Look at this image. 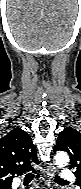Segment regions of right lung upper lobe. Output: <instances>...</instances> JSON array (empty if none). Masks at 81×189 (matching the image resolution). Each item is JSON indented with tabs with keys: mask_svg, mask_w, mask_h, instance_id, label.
<instances>
[{
	"mask_svg": "<svg viewBox=\"0 0 81 189\" xmlns=\"http://www.w3.org/2000/svg\"><path fill=\"white\" fill-rule=\"evenodd\" d=\"M38 164L36 147L27 132L15 128L0 139V187L11 185L15 174L33 170Z\"/></svg>",
	"mask_w": 81,
	"mask_h": 189,
	"instance_id": "right-lung-upper-lobe-1",
	"label": "right lung upper lobe"
}]
</instances>
